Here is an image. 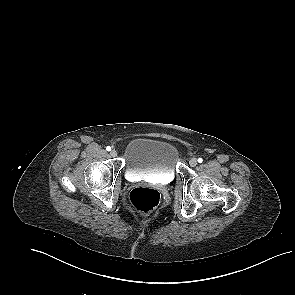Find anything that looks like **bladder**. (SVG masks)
I'll list each match as a JSON object with an SVG mask.
<instances>
[{
  "mask_svg": "<svg viewBox=\"0 0 295 295\" xmlns=\"http://www.w3.org/2000/svg\"><path fill=\"white\" fill-rule=\"evenodd\" d=\"M125 172L130 177H151L170 182L176 175L178 150L157 138H136L125 148Z\"/></svg>",
  "mask_w": 295,
  "mask_h": 295,
  "instance_id": "1",
  "label": "bladder"
}]
</instances>
